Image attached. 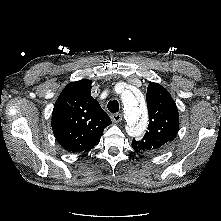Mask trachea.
<instances>
[{
	"label": "trachea",
	"mask_w": 221,
	"mask_h": 221,
	"mask_svg": "<svg viewBox=\"0 0 221 221\" xmlns=\"http://www.w3.org/2000/svg\"><path fill=\"white\" fill-rule=\"evenodd\" d=\"M108 110L112 113H117L119 111V104L117 100H111L108 102Z\"/></svg>",
	"instance_id": "3493384b"
}]
</instances>
